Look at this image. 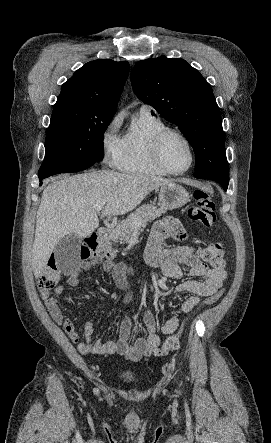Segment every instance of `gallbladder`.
I'll use <instances>...</instances> for the list:
<instances>
[{
    "mask_svg": "<svg viewBox=\"0 0 271 443\" xmlns=\"http://www.w3.org/2000/svg\"><path fill=\"white\" fill-rule=\"evenodd\" d=\"M81 237L78 235H66L55 247V255L58 261V273H75L76 269L82 268Z\"/></svg>",
    "mask_w": 271,
    "mask_h": 443,
    "instance_id": "gallbladder-1",
    "label": "gallbladder"
}]
</instances>
